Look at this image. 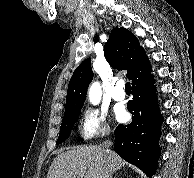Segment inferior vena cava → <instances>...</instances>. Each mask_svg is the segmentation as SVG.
<instances>
[{"label":"inferior vena cava","instance_id":"inferior-vena-cava-1","mask_svg":"<svg viewBox=\"0 0 194 178\" xmlns=\"http://www.w3.org/2000/svg\"><path fill=\"white\" fill-rule=\"evenodd\" d=\"M112 145V142L107 140L103 143V152L109 154V147ZM102 178H112V165L109 161L105 163L104 172Z\"/></svg>","mask_w":194,"mask_h":178}]
</instances>
